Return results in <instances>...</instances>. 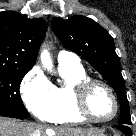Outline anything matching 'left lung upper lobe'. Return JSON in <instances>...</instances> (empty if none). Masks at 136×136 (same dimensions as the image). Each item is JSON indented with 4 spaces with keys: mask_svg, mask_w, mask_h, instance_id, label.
<instances>
[{
    "mask_svg": "<svg viewBox=\"0 0 136 136\" xmlns=\"http://www.w3.org/2000/svg\"><path fill=\"white\" fill-rule=\"evenodd\" d=\"M52 29L66 48L88 61L113 87L121 107L119 124H131L121 64L112 36L94 20L80 15L67 20L54 18Z\"/></svg>",
    "mask_w": 136,
    "mask_h": 136,
    "instance_id": "5c2ea615",
    "label": "left lung upper lobe"
}]
</instances>
